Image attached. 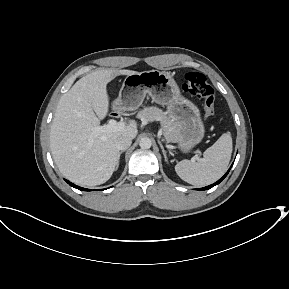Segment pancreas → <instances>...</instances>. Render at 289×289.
<instances>
[{
	"label": "pancreas",
	"instance_id": "pancreas-1",
	"mask_svg": "<svg viewBox=\"0 0 289 289\" xmlns=\"http://www.w3.org/2000/svg\"><path fill=\"white\" fill-rule=\"evenodd\" d=\"M139 119L146 122L160 121L163 135L168 142H174L177 134L176 123L157 107H147L137 115Z\"/></svg>",
	"mask_w": 289,
	"mask_h": 289
}]
</instances>
